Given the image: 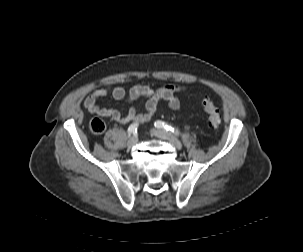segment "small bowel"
I'll list each match as a JSON object with an SVG mask.
<instances>
[{
    "label": "small bowel",
    "instance_id": "obj_1",
    "mask_svg": "<svg viewBox=\"0 0 303 252\" xmlns=\"http://www.w3.org/2000/svg\"><path fill=\"white\" fill-rule=\"evenodd\" d=\"M185 86L181 84H167L152 89L146 84H137L133 86L128 94L125 89L120 85L107 86L95 89L85 100L84 107L92 114L109 118L119 124L126 125L128 123H144L151 119L155 113L159 102L166 101L168 106L173 111H179L181 102L178 94L185 91ZM111 97L116 101L127 99L133 102L137 99L144 98L146 112L140 114L135 107H130L128 112L122 115L119 111L114 109L101 108L97 102L99 99Z\"/></svg>",
    "mask_w": 303,
    "mask_h": 252
}]
</instances>
